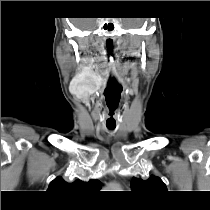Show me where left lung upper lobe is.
Segmentation results:
<instances>
[{"mask_svg":"<svg viewBox=\"0 0 210 210\" xmlns=\"http://www.w3.org/2000/svg\"><path fill=\"white\" fill-rule=\"evenodd\" d=\"M131 188L133 191L140 193H157L167 190L165 184L157 176H151L147 180L133 177L131 182Z\"/></svg>","mask_w":210,"mask_h":210,"instance_id":"5c2ea615","label":"left lung upper lobe"}]
</instances>
